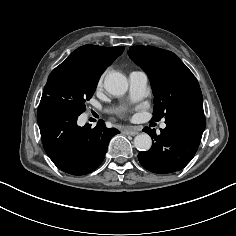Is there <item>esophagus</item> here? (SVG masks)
I'll return each instance as SVG.
<instances>
[{
  "instance_id": "esophagus-1",
  "label": "esophagus",
  "mask_w": 236,
  "mask_h": 236,
  "mask_svg": "<svg viewBox=\"0 0 236 236\" xmlns=\"http://www.w3.org/2000/svg\"><path fill=\"white\" fill-rule=\"evenodd\" d=\"M139 132L137 130H124L123 134L125 135H131V136H135L137 135Z\"/></svg>"
}]
</instances>
